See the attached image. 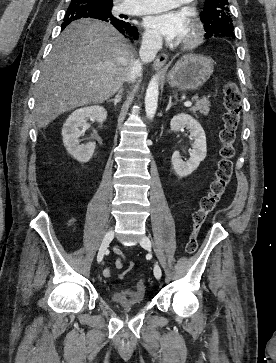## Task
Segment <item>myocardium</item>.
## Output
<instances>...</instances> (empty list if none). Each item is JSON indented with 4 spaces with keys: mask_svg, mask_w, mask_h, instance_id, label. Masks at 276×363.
<instances>
[{
    "mask_svg": "<svg viewBox=\"0 0 276 363\" xmlns=\"http://www.w3.org/2000/svg\"><path fill=\"white\" fill-rule=\"evenodd\" d=\"M203 38V27L196 17H192L190 24V33L183 40L182 46L184 48L196 47Z\"/></svg>",
    "mask_w": 276,
    "mask_h": 363,
    "instance_id": "f54148a6",
    "label": "myocardium"
}]
</instances>
